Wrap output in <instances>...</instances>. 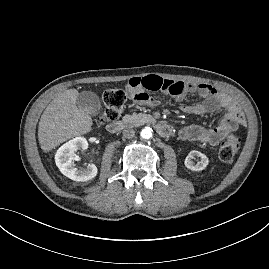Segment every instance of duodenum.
<instances>
[{
    "label": "duodenum",
    "instance_id": "1",
    "mask_svg": "<svg viewBox=\"0 0 269 269\" xmlns=\"http://www.w3.org/2000/svg\"><path fill=\"white\" fill-rule=\"evenodd\" d=\"M147 122L152 124L155 127L156 131L163 137H169L173 133L171 125L167 123L158 122L153 118H147ZM126 124L127 123L124 121L111 122L107 125V130L108 132L114 134L123 129Z\"/></svg>",
    "mask_w": 269,
    "mask_h": 269
}]
</instances>
